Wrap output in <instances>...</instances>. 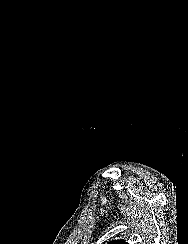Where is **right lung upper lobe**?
I'll return each instance as SVG.
<instances>
[{
	"instance_id": "cb5924a9",
	"label": "right lung upper lobe",
	"mask_w": 188,
	"mask_h": 244,
	"mask_svg": "<svg viewBox=\"0 0 188 244\" xmlns=\"http://www.w3.org/2000/svg\"><path fill=\"white\" fill-rule=\"evenodd\" d=\"M109 244H128V243L125 242L124 240H114L111 241Z\"/></svg>"
}]
</instances>
